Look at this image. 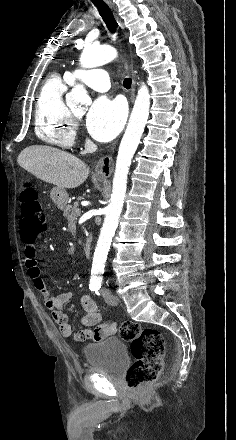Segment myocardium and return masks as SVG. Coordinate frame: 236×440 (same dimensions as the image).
Instances as JSON below:
<instances>
[{
  "label": "myocardium",
  "instance_id": "f54148a6",
  "mask_svg": "<svg viewBox=\"0 0 236 440\" xmlns=\"http://www.w3.org/2000/svg\"><path fill=\"white\" fill-rule=\"evenodd\" d=\"M74 120H75V121H78V118H77V117H74Z\"/></svg>",
  "mask_w": 236,
  "mask_h": 440
}]
</instances>
